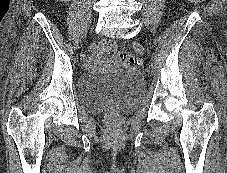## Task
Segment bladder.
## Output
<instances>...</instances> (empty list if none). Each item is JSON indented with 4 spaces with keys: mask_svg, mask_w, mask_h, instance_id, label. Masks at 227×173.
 Here are the masks:
<instances>
[{
    "mask_svg": "<svg viewBox=\"0 0 227 173\" xmlns=\"http://www.w3.org/2000/svg\"><path fill=\"white\" fill-rule=\"evenodd\" d=\"M143 78L129 70L113 69L83 74L77 83V98L83 109L98 113L115 107L130 110L143 98Z\"/></svg>",
    "mask_w": 227,
    "mask_h": 173,
    "instance_id": "bladder-1",
    "label": "bladder"
}]
</instances>
